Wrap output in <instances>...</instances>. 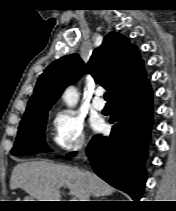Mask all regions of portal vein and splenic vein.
I'll list each match as a JSON object with an SVG mask.
<instances>
[{
	"label": "portal vein and splenic vein",
	"mask_w": 176,
	"mask_h": 211,
	"mask_svg": "<svg viewBox=\"0 0 176 211\" xmlns=\"http://www.w3.org/2000/svg\"><path fill=\"white\" fill-rule=\"evenodd\" d=\"M70 201H77V199H70Z\"/></svg>",
	"instance_id": "obj_1"
}]
</instances>
